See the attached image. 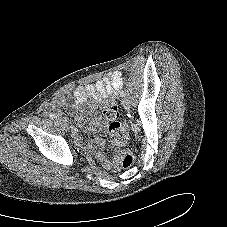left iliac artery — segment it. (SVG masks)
Listing matches in <instances>:
<instances>
[{
    "label": "left iliac artery",
    "mask_w": 227,
    "mask_h": 227,
    "mask_svg": "<svg viewBox=\"0 0 227 227\" xmlns=\"http://www.w3.org/2000/svg\"><path fill=\"white\" fill-rule=\"evenodd\" d=\"M120 96L123 97V98H125V97H126L125 92H124V91H121V92H120Z\"/></svg>",
    "instance_id": "obj_1"
}]
</instances>
